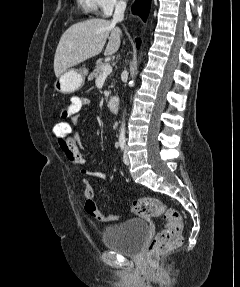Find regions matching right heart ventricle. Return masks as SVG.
<instances>
[{
    "instance_id": "obj_1",
    "label": "right heart ventricle",
    "mask_w": 240,
    "mask_h": 287,
    "mask_svg": "<svg viewBox=\"0 0 240 287\" xmlns=\"http://www.w3.org/2000/svg\"><path fill=\"white\" fill-rule=\"evenodd\" d=\"M78 5L82 8L84 13L88 15H95L98 12L97 0H77Z\"/></svg>"
}]
</instances>
